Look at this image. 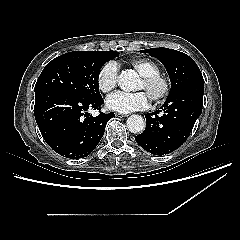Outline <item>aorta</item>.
<instances>
[{
	"label": "aorta",
	"mask_w": 240,
	"mask_h": 240,
	"mask_svg": "<svg viewBox=\"0 0 240 240\" xmlns=\"http://www.w3.org/2000/svg\"><path fill=\"white\" fill-rule=\"evenodd\" d=\"M137 81V75L131 70L122 71L119 75L118 85L124 91L133 90ZM127 128L132 133H142L145 130V121L140 115H131L126 121Z\"/></svg>",
	"instance_id": "762f6f07"
}]
</instances>
